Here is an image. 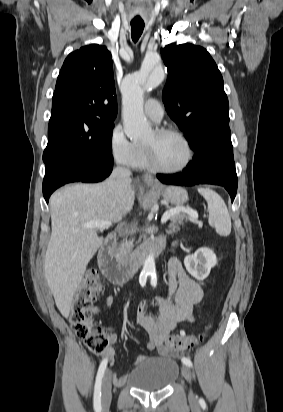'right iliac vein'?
Here are the masks:
<instances>
[{"label":"right iliac vein","instance_id":"obj_1","mask_svg":"<svg viewBox=\"0 0 283 412\" xmlns=\"http://www.w3.org/2000/svg\"><path fill=\"white\" fill-rule=\"evenodd\" d=\"M112 375L111 372L108 370L104 376L103 384H102V407L103 409H107L111 403L112 398Z\"/></svg>","mask_w":283,"mask_h":412}]
</instances>
